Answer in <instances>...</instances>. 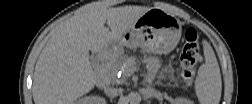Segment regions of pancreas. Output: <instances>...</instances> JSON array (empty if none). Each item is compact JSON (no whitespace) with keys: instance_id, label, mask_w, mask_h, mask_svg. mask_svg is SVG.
<instances>
[{"instance_id":"1","label":"pancreas","mask_w":252,"mask_h":104,"mask_svg":"<svg viewBox=\"0 0 252 104\" xmlns=\"http://www.w3.org/2000/svg\"><path fill=\"white\" fill-rule=\"evenodd\" d=\"M127 61L130 66H134V64L136 63L135 59H133V58H129V59H127ZM118 69H119V64L116 61H112V62H109L106 64L104 71L107 74L111 75L112 73L116 72ZM124 76L126 77L127 74L124 73Z\"/></svg>"}]
</instances>
